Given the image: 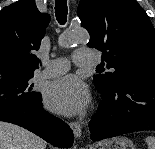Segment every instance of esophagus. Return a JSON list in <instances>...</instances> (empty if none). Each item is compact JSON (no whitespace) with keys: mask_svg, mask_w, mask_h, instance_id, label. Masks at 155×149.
I'll list each match as a JSON object with an SVG mask.
<instances>
[{"mask_svg":"<svg viewBox=\"0 0 155 149\" xmlns=\"http://www.w3.org/2000/svg\"><path fill=\"white\" fill-rule=\"evenodd\" d=\"M70 128L73 131V134L76 138H79L81 136V126L77 122H70L69 123Z\"/></svg>","mask_w":155,"mask_h":149,"instance_id":"34e87169","label":"esophagus"}]
</instances>
